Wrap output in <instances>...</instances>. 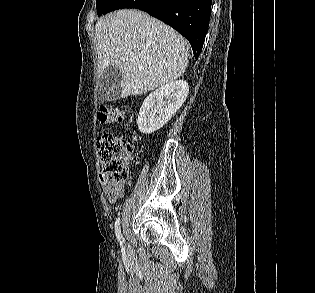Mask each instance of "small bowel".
I'll use <instances>...</instances> for the list:
<instances>
[{
    "instance_id": "small-bowel-1",
    "label": "small bowel",
    "mask_w": 315,
    "mask_h": 293,
    "mask_svg": "<svg viewBox=\"0 0 315 293\" xmlns=\"http://www.w3.org/2000/svg\"><path fill=\"white\" fill-rule=\"evenodd\" d=\"M102 190L109 202L114 203L124 195L123 184H102Z\"/></svg>"
}]
</instances>
